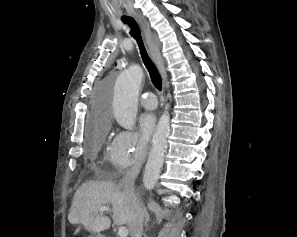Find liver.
Returning <instances> with one entry per match:
<instances>
[{
  "label": "liver",
  "instance_id": "6515ba94",
  "mask_svg": "<svg viewBox=\"0 0 297 237\" xmlns=\"http://www.w3.org/2000/svg\"><path fill=\"white\" fill-rule=\"evenodd\" d=\"M108 205L112 206L116 225L128 224L130 208L122 189L113 182H86L75 192L68 220L71 224H82L89 232H103L110 228L111 220L98 209Z\"/></svg>",
  "mask_w": 297,
  "mask_h": 237
}]
</instances>
